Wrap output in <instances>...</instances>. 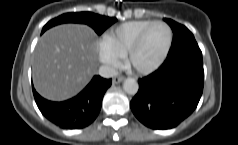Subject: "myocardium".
Returning a JSON list of instances; mask_svg holds the SVG:
<instances>
[{"label":"myocardium","instance_id":"myocardium-1","mask_svg":"<svg viewBox=\"0 0 238 145\" xmlns=\"http://www.w3.org/2000/svg\"><path fill=\"white\" fill-rule=\"evenodd\" d=\"M155 25H162L164 26L167 31H168V41L166 44V47L164 49V51L162 52V54L160 55V57L151 65L146 66V67H135L132 65L131 63V59L133 57V55L138 51V49L141 47L144 38L146 36V34L148 33V31ZM172 41H173V32L171 27L163 22V21H153L152 23H150L148 26H146L141 32L140 34L137 36V38L135 39V41L133 42V44L129 47V49L127 50L124 59H125V65L128 69L132 70L135 73L138 74H149L154 72L155 70H157L162 64L163 62L166 60L171 46H172Z\"/></svg>","mask_w":238,"mask_h":145}]
</instances>
